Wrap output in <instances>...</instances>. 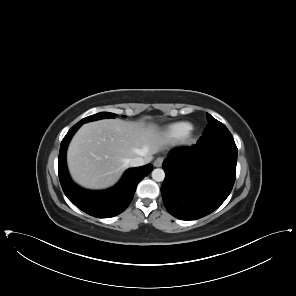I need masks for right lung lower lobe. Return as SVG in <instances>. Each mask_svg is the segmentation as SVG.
I'll return each instance as SVG.
<instances>
[{
	"label": "right lung lower lobe",
	"mask_w": 296,
	"mask_h": 296,
	"mask_svg": "<svg viewBox=\"0 0 296 296\" xmlns=\"http://www.w3.org/2000/svg\"><path fill=\"white\" fill-rule=\"evenodd\" d=\"M80 126L78 123L74 125L61 142L58 158L61 186L67 198L85 213L98 218L116 216L128 207L137 184L153 170V166L148 164L143 167L128 169L120 182L108 190L88 191L78 187L69 177L65 157L68 143Z\"/></svg>",
	"instance_id": "right-lung-lower-lobe-1"
}]
</instances>
